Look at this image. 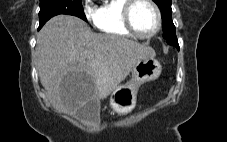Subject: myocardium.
Returning a JSON list of instances; mask_svg holds the SVG:
<instances>
[{"label":"myocardium","mask_w":227,"mask_h":142,"mask_svg":"<svg viewBox=\"0 0 227 142\" xmlns=\"http://www.w3.org/2000/svg\"><path fill=\"white\" fill-rule=\"evenodd\" d=\"M144 1L152 6V8L155 10L156 16H157V26L153 32L150 34H142L140 33L134 26L133 20H132V13L133 9L139 2ZM122 19L125 28L134 36L141 38V39H150L154 36H156L159 31L162 28V13L159 8V6L153 1V0H126L123 10H122Z\"/></svg>","instance_id":"obj_1"}]
</instances>
